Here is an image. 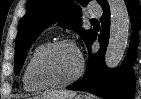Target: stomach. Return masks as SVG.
<instances>
[{
  "label": "stomach",
  "mask_w": 141,
  "mask_h": 99,
  "mask_svg": "<svg viewBox=\"0 0 141 99\" xmlns=\"http://www.w3.org/2000/svg\"><path fill=\"white\" fill-rule=\"evenodd\" d=\"M35 99H42V98H35ZM76 99H87V98H85V96H79L78 98H76Z\"/></svg>",
  "instance_id": "stomach-1"
}]
</instances>
